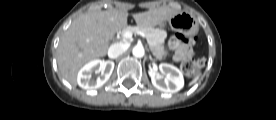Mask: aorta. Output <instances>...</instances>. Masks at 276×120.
Instances as JSON below:
<instances>
[{
    "label": "aorta",
    "mask_w": 276,
    "mask_h": 120,
    "mask_svg": "<svg viewBox=\"0 0 276 120\" xmlns=\"http://www.w3.org/2000/svg\"><path fill=\"white\" fill-rule=\"evenodd\" d=\"M132 54L134 57L142 58L145 54L144 47L142 45H136L133 47Z\"/></svg>",
    "instance_id": "aorta-1"
}]
</instances>
